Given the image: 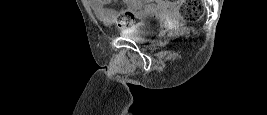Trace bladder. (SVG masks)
<instances>
[{
    "label": "bladder",
    "instance_id": "31cf9c89",
    "mask_svg": "<svg viewBox=\"0 0 267 115\" xmlns=\"http://www.w3.org/2000/svg\"><path fill=\"white\" fill-rule=\"evenodd\" d=\"M146 18H153L156 19L158 18L157 15L155 14H146ZM120 33L122 36L133 39V40H147L151 38L154 34V30L145 24H135L130 27L122 28L120 30Z\"/></svg>",
    "mask_w": 267,
    "mask_h": 115
}]
</instances>
